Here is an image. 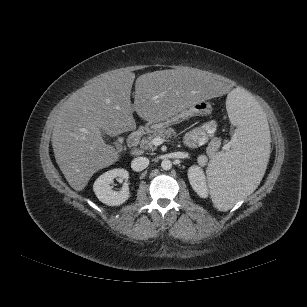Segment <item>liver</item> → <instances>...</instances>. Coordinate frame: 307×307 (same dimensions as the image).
Segmentation results:
<instances>
[{"label":"liver","instance_id":"1","mask_svg":"<svg viewBox=\"0 0 307 307\" xmlns=\"http://www.w3.org/2000/svg\"><path fill=\"white\" fill-rule=\"evenodd\" d=\"M134 79V73L122 69L104 73L77 90L60 108L52 147L60 170L74 190H83L94 173L118 159L115 148L103 140L102 130L117 136L136 128L133 111L146 121L165 118L229 90L226 83L198 69L154 71L136 79L132 105Z\"/></svg>","mask_w":307,"mask_h":307}]
</instances>
